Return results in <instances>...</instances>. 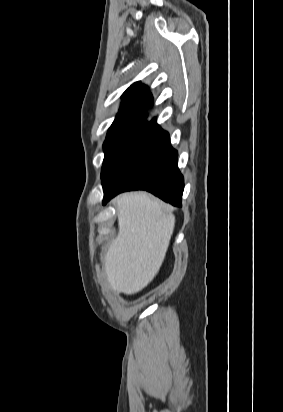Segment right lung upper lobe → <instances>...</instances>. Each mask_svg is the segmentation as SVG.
Here are the masks:
<instances>
[{"label": "right lung upper lobe", "instance_id": "right-lung-upper-lobe-1", "mask_svg": "<svg viewBox=\"0 0 283 412\" xmlns=\"http://www.w3.org/2000/svg\"><path fill=\"white\" fill-rule=\"evenodd\" d=\"M124 103L118 113V116L123 115H144L145 108L149 107L153 101V97L147 86L134 83L123 94Z\"/></svg>", "mask_w": 283, "mask_h": 412}]
</instances>
